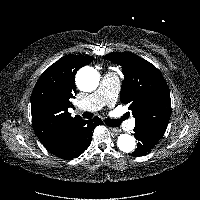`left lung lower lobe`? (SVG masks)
<instances>
[{
    "instance_id": "1",
    "label": "left lung lower lobe",
    "mask_w": 200,
    "mask_h": 200,
    "mask_svg": "<svg viewBox=\"0 0 200 200\" xmlns=\"http://www.w3.org/2000/svg\"><path fill=\"white\" fill-rule=\"evenodd\" d=\"M134 132V136L138 140L137 148L131 154V156L134 157H139L148 154L161 139L149 131L134 129Z\"/></svg>"
}]
</instances>
